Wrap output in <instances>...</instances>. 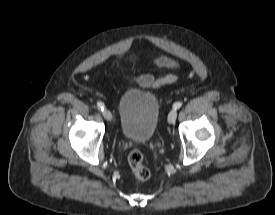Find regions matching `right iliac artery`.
<instances>
[{
    "instance_id": "right-iliac-artery-1",
    "label": "right iliac artery",
    "mask_w": 275,
    "mask_h": 215,
    "mask_svg": "<svg viewBox=\"0 0 275 215\" xmlns=\"http://www.w3.org/2000/svg\"><path fill=\"white\" fill-rule=\"evenodd\" d=\"M97 107L100 109V110H104V107H105V105H104V103H102V102H97Z\"/></svg>"
}]
</instances>
